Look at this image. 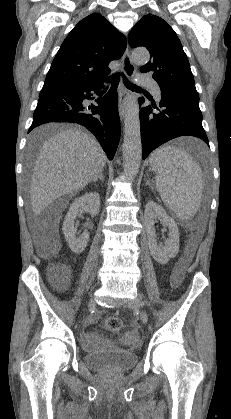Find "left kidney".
I'll list each match as a JSON object with an SVG mask.
<instances>
[{
    "label": "left kidney",
    "instance_id": "1",
    "mask_svg": "<svg viewBox=\"0 0 231 419\" xmlns=\"http://www.w3.org/2000/svg\"><path fill=\"white\" fill-rule=\"evenodd\" d=\"M159 219L163 226L169 229V238L165 245L157 243L154 232L155 220ZM145 227L148 239V246L152 257L161 264H166L179 252V230L176 222L166 214V211L157 203L150 201L146 204L144 213Z\"/></svg>",
    "mask_w": 231,
    "mask_h": 419
}]
</instances>
